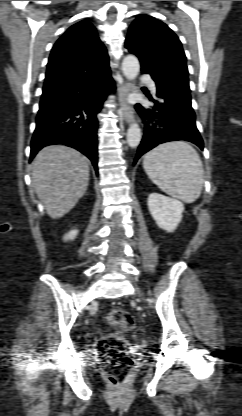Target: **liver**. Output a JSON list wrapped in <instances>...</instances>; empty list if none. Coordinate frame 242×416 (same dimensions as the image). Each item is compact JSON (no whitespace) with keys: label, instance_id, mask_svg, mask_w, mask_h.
<instances>
[{"label":"liver","instance_id":"obj_1","mask_svg":"<svg viewBox=\"0 0 242 416\" xmlns=\"http://www.w3.org/2000/svg\"><path fill=\"white\" fill-rule=\"evenodd\" d=\"M88 180L89 160L73 148L47 146L34 158L32 187L52 219L63 217L76 205Z\"/></svg>","mask_w":242,"mask_h":416}]
</instances>
